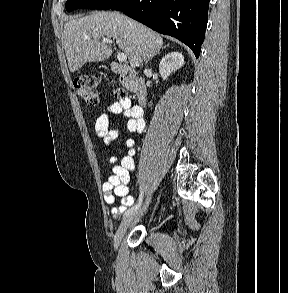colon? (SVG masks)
Returning <instances> with one entry per match:
<instances>
[{"mask_svg": "<svg viewBox=\"0 0 288 293\" xmlns=\"http://www.w3.org/2000/svg\"><path fill=\"white\" fill-rule=\"evenodd\" d=\"M74 87L77 94L85 102L89 104H97L99 101V85L98 81L94 76L91 75H81L77 77L74 81ZM126 92L123 89L114 90V95L116 97L125 96Z\"/></svg>", "mask_w": 288, "mask_h": 293, "instance_id": "5ec220e1", "label": "colon"}]
</instances>
